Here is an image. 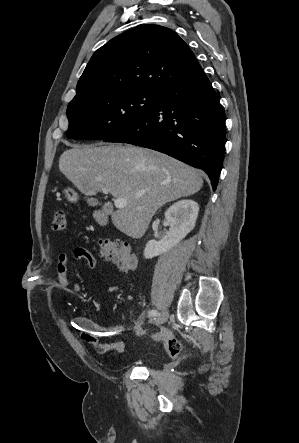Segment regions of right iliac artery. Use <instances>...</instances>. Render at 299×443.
Wrapping results in <instances>:
<instances>
[{
  "label": "right iliac artery",
  "instance_id": "1",
  "mask_svg": "<svg viewBox=\"0 0 299 443\" xmlns=\"http://www.w3.org/2000/svg\"><path fill=\"white\" fill-rule=\"evenodd\" d=\"M160 314H159V312L157 311V310H150V311H148V316L149 317H156V316H159Z\"/></svg>",
  "mask_w": 299,
  "mask_h": 443
}]
</instances>
